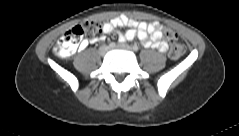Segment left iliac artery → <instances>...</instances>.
<instances>
[{"mask_svg":"<svg viewBox=\"0 0 239 136\" xmlns=\"http://www.w3.org/2000/svg\"><path fill=\"white\" fill-rule=\"evenodd\" d=\"M133 50H134V51H138V46L134 45V46H133Z\"/></svg>","mask_w":239,"mask_h":136,"instance_id":"left-iliac-artery-1","label":"left iliac artery"}]
</instances>
